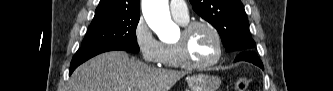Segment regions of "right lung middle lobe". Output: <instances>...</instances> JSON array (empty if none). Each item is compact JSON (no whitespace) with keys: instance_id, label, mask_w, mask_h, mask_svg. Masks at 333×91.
I'll return each instance as SVG.
<instances>
[{"instance_id":"1","label":"right lung middle lobe","mask_w":333,"mask_h":91,"mask_svg":"<svg viewBox=\"0 0 333 91\" xmlns=\"http://www.w3.org/2000/svg\"><path fill=\"white\" fill-rule=\"evenodd\" d=\"M140 14L101 16L93 19L81 49L115 47L138 52L136 27Z\"/></svg>"}]
</instances>
